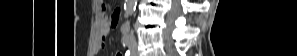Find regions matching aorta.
<instances>
[{
  "label": "aorta",
  "mask_w": 297,
  "mask_h": 56,
  "mask_svg": "<svg viewBox=\"0 0 297 56\" xmlns=\"http://www.w3.org/2000/svg\"><path fill=\"white\" fill-rule=\"evenodd\" d=\"M136 8V0H125L124 11L127 16H131Z\"/></svg>",
  "instance_id": "1"
}]
</instances>
